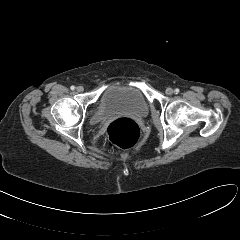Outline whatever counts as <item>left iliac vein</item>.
<instances>
[{
  "mask_svg": "<svg viewBox=\"0 0 240 240\" xmlns=\"http://www.w3.org/2000/svg\"><path fill=\"white\" fill-rule=\"evenodd\" d=\"M173 92H174V91H173L172 88H167V89H166V94H167V95H172Z\"/></svg>",
  "mask_w": 240,
  "mask_h": 240,
  "instance_id": "1",
  "label": "left iliac vein"
}]
</instances>
